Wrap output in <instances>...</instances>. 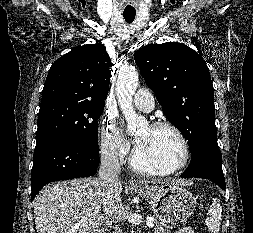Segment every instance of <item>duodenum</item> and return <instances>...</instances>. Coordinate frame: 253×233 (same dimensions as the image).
I'll list each match as a JSON object with an SVG mask.
<instances>
[{"mask_svg": "<svg viewBox=\"0 0 253 233\" xmlns=\"http://www.w3.org/2000/svg\"><path fill=\"white\" fill-rule=\"evenodd\" d=\"M110 221L107 218H102L97 227V233H105L109 227Z\"/></svg>", "mask_w": 253, "mask_h": 233, "instance_id": "duodenum-1", "label": "duodenum"}]
</instances>
